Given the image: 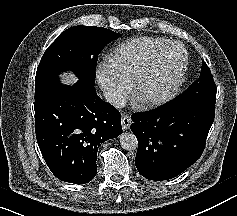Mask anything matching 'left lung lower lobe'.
<instances>
[{
  "mask_svg": "<svg viewBox=\"0 0 237 216\" xmlns=\"http://www.w3.org/2000/svg\"><path fill=\"white\" fill-rule=\"evenodd\" d=\"M214 114L215 110L175 98L157 109L132 115L139 173L162 181L190 167L203 153Z\"/></svg>",
  "mask_w": 237,
  "mask_h": 216,
  "instance_id": "obj_1",
  "label": "left lung lower lobe"
}]
</instances>
